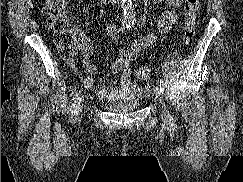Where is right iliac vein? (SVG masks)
<instances>
[{
    "instance_id": "right-iliac-vein-1",
    "label": "right iliac vein",
    "mask_w": 243,
    "mask_h": 182,
    "mask_svg": "<svg viewBox=\"0 0 243 182\" xmlns=\"http://www.w3.org/2000/svg\"><path fill=\"white\" fill-rule=\"evenodd\" d=\"M82 101H83V99L79 100L77 108H76V110H77V117L78 118H80L81 112H82V107H83Z\"/></svg>"
}]
</instances>
